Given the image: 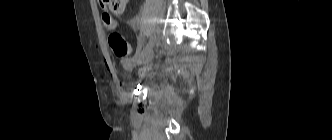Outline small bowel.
<instances>
[{
	"mask_svg": "<svg viewBox=\"0 0 332 140\" xmlns=\"http://www.w3.org/2000/svg\"><path fill=\"white\" fill-rule=\"evenodd\" d=\"M120 65L124 70L129 71V72H132L134 69V61L132 59H128V58L121 59ZM146 71H147V67H145V66L141 67L138 72L139 76L144 77L146 74Z\"/></svg>",
	"mask_w": 332,
	"mask_h": 140,
	"instance_id": "obj_1",
	"label": "small bowel"
}]
</instances>
